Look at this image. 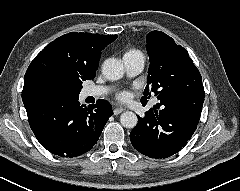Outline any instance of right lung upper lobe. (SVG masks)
Returning a JSON list of instances; mask_svg holds the SVG:
<instances>
[{"mask_svg": "<svg viewBox=\"0 0 240 191\" xmlns=\"http://www.w3.org/2000/svg\"><path fill=\"white\" fill-rule=\"evenodd\" d=\"M117 35L71 32L49 43L31 62L25 77L22 100L47 97L53 87L76 88L93 79L101 51Z\"/></svg>", "mask_w": 240, "mask_h": 191, "instance_id": "right-lung-upper-lobe-1", "label": "right lung upper lobe"}]
</instances>
